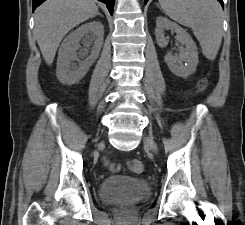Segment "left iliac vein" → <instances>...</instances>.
I'll use <instances>...</instances> for the list:
<instances>
[{"label":"left iliac vein","instance_id":"1","mask_svg":"<svg viewBox=\"0 0 245 225\" xmlns=\"http://www.w3.org/2000/svg\"><path fill=\"white\" fill-rule=\"evenodd\" d=\"M144 143L146 146H148L153 152H157V146L154 142L153 138L150 136L145 137Z\"/></svg>","mask_w":245,"mask_h":225}]
</instances>
